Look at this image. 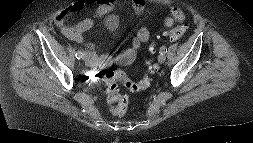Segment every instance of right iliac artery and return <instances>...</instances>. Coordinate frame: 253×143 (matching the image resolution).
<instances>
[{
  "label": "right iliac artery",
  "instance_id": "right-iliac-artery-1",
  "mask_svg": "<svg viewBox=\"0 0 253 143\" xmlns=\"http://www.w3.org/2000/svg\"><path fill=\"white\" fill-rule=\"evenodd\" d=\"M83 57V53L81 51L76 52V58L81 59Z\"/></svg>",
  "mask_w": 253,
  "mask_h": 143
}]
</instances>
